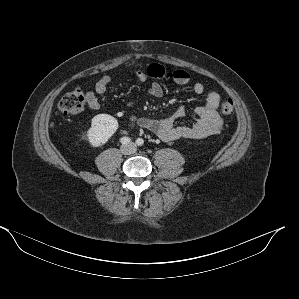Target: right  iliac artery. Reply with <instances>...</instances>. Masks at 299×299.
<instances>
[{"label":"right iliac artery","instance_id":"82829eb1","mask_svg":"<svg viewBox=\"0 0 299 299\" xmlns=\"http://www.w3.org/2000/svg\"><path fill=\"white\" fill-rule=\"evenodd\" d=\"M120 141L122 144H128L131 142V139L129 137L125 136V137H122Z\"/></svg>","mask_w":299,"mask_h":299}]
</instances>
